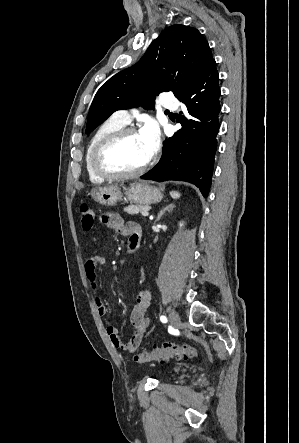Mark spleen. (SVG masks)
<instances>
[{"instance_id":"obj_1","label":"spleen","mask_w":299,"mask_h":443,"mask_svg":"<svg viewBox=\"0 0 299 443\" xmlns=\"http://www.w3.org/2000/svg\"><path fill=\"white\" fill-rule=\"evenodd\" d=\"M170 195H171V197H172L173 199H178V198H180V193L177 192V191H171V192H170Z\"/></svg>"}]
</instances>
